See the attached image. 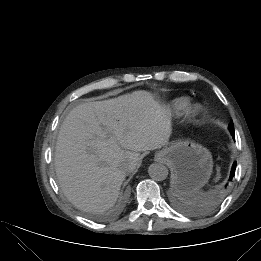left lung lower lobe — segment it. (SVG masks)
<instances>
[{
    "mask_svg": "<svg viewBox=\"0 0 261 261\" xmlns=\"http://www.w3.org/2000/svg\"><path fill=\"white\" fill-rule=\"evenodd\" d=\"M229 131H230V133H231V135H232V137L235 139V133H234V127H229ZM236 162L233 164V166H232V169H231V174H230V178H229V180L231 181L232 180V178L234 177V174H235V170H236Z\"/></svg>",
    "mask_w": 261,
    "mask_h": 261,
    "instance_id": "1",
    "label": "left lung lower lobe"
}]
</instances>
